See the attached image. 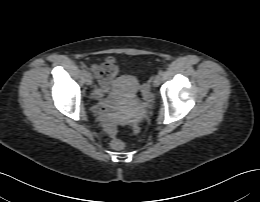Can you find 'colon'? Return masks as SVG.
<instances>
[{"label": "colon", "mask_w": 260, "mask_h": 202, "mask_svg": "<svg viewBox=\"0 0 260 202\" xmlns=\"http://www.w3.org/2000/svg\"><path fill=\"white\" fill-rule=\"evenodd\" d=\"M117 73V64L113 58H107L102 63L94 68V74L102 83H109ZM138 128H134L137 132ZM111 147L115 151H124L126 144L120 139H114L111 142Z\"/></svg>", "instance_id": "1"}]
</instances>
